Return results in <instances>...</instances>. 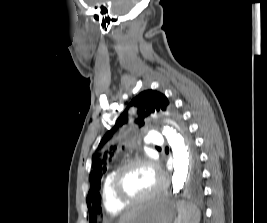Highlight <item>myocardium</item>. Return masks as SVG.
Listing matches in <instances>:
<instances>
[{"label": "myocardium", "instance_id": "1", "mask_svg": "<svg viewBox=\"0 0 267 223\" xmlns=\"http://www.w3.org/2000/svg\"><path fill=\"white\" fill-rule=\"evenodd\" d=\"M136 165H147L149 166L153 172L156 174L158 178V183L156 187L149 192L148 194L137 198V199H128L125 198L120 190V183L122 180V177L124 174L133 166ZM165 187V175L163 171L161 170L160 166L158 165L157 161L148 157V156H141V157H135L127 162H125L115 173L112 182H111V189L112 194L115 197V199L125 206H134L138 204L145 203L147 201L152 200L156 196H158L162 190Z\"/></svg>", "mask_w": 267, "mask_h": 223}]
</instances>
